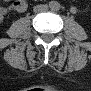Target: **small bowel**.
<instances>
[{"instance_id":"c3829d8e","label":"small bowel","mask_w":91,"mask_h":91,"mask_svg":"<svg viewBox=\"0 0 91 91\" xmlns=\"http://www.w3.org/2000/svg\"><path fill=\"white\" fill-rule=\"evenodd\" d=\"M11 9L18 11V12H24L27 9V3L24 0H15L12 4H11ZM73 12H76L77 9L73 8L72 9Z\"/></svg>"}]
</instances>
